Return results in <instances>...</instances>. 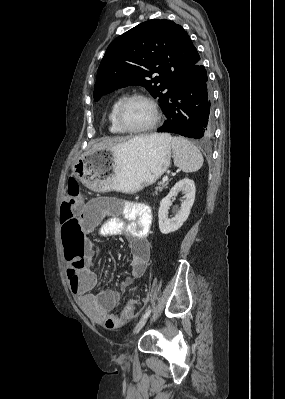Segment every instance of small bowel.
Wrapping results in <instances>:
<instances>
[{"instance_id":"small-bowel-1","label":"small bowel","mask_w":285,"mask_h":399,"mask_svg":"<svg viewBox=\"0 0 285 399\" xmlns=\"http://www.w3.org/2000/svg\"><path fill=\"white\" fill-rule=\"evenodd\" d=\"M84 209V205L77 206L75 209L78 222H81L80 215ZM95 209L103 216L102 226L97 233L99 239L119 235L126 237L131 254L130 272L122 278L119 290L103 289L98 295L91 293L99 283V276L90 267L93 247L84 239L90 232V226L83 224L77 230V240L83 242L87 254L86 266L77 276L70 278V290L83 311L96 323L113 331L123 325V320L109 312L118 305L120 293L126 290L134 280L142 277L148 266L150 250L147 237L151 229L152 217L147 205L142 202L127 201L113 205L107 198H101L96 202ZM129 305L132 309L133 301H129Z\"/></svg>"}]
</instances>
